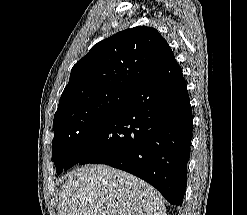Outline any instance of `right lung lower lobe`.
I'll use <instances>...</instances> for the list:
<instances>
[{
    "instance_id": "1",
    "label": "right lung lower lobe",
    "mask_w": 247,
    "mask_h": 215,
    "mask_svg": "<svg viewBox=\"0 0 247 215\" xmlns=\"http://www.w3.org/2000/svg\"><path fill=\"white\" fill-rule=\"evenodd\" d=\"M192 128L186 82L173 54L122 109L77 141L68 162L70 167L101 163L124 170L181 206Z\"/></svg>"
}]
</instances>
